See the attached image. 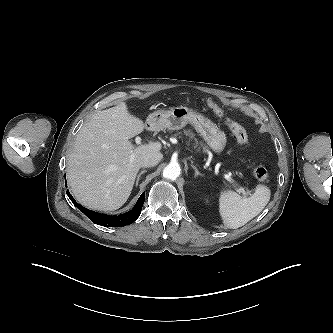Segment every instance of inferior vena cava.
<instances>
[{"label": "inferior vena cava", "instance_id": "602c4592", "mask_svg": "<svg viewBox=\"0 0 333 333\" xmlns=\"http://www.w3.org/2000/svg\"><path fill=\"white\" fill-rule=\"evenodd\" d=\"M162 157L160 152L150 153L142 157L140 164L142 167H153L161 161Z\"/></svg>", "mask_w": 333, "mask_h": 333}]
</instances>
